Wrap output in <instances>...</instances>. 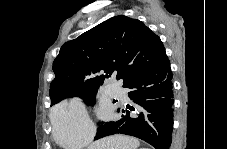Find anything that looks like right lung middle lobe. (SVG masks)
<instances>
[{
	"instance_id": "dd1d6c3e",
	"label": "right lung middle lobe",
	"mask_w": 227,
	"mask_h": 149,
	"mask_svg": "<svg viewBox=\"0 0 227 149\" xmlns=\"http://www.w3.org/2000/svg\"><path fill=\"white\" fill-rule=\"evenodd\" d=\"M96 93H97V89H94V90L88 92L87 94L82 95L81 97L85 100V102L87 104H91L92 105V104L95 103Z\"/></svg>"
}]
</instances>
